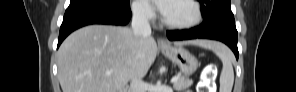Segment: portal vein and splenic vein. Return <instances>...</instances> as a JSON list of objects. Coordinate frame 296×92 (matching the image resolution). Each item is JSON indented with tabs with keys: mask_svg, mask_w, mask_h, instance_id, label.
<instances>
[{
	"mask_svg": "<svg viewBox=\"0 0 296 92\" xmlns=\"http://www.w3.org/2000/svg\"><path fill=\"white\" fill-rule=\"evenodd\" d=\"M111 73H112V71H108L106 74L110 75ZM176 81H178V76L172 77L171 83H175Z\"/></svg>",
	"mask_w": 296,
	"mask_h": 92,
	"instance_id": "1",
	"label": "portal vein and splenic vein"
}]
</instances>
